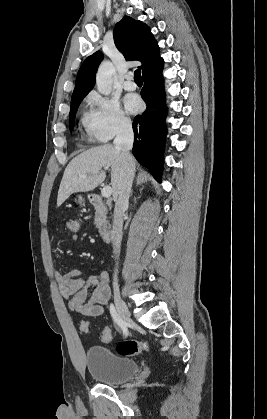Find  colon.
<instances>
[{
    "mask_svg": "<svg viewBox=\"0 0 267 419\" xmlns=\"http://www.w3.org/2000/svg\"><path fill=\"white\" fill-rule=\"evenodd\" d=\"M81 222L78 219L68 221L67 228L71 232V236H79V230ZM90 324L88 321H82L80 324V331L87 333L89 331ZM101 340L103 343H109L111 340V331L109 328H104ZM149 350V344L147 342L124 340L117 344L116 351L119 355L129 357L135 356L143 351Z\"/></svg>",
    "mask_w": 267,
    "mask_h": 419,
    "instance_id": "colon-1",
    "label": "colon"
}]
</instances>
